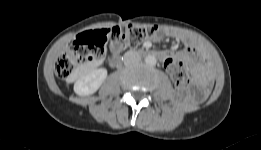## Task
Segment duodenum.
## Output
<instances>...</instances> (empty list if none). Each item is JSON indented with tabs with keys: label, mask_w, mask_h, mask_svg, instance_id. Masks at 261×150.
I'll use <instances>...</instances> for the list:
<instances>
[{
	"label": "duodenum",
	"mask_w": 261,
	"mask_h": 150,
	"mask_svg": "<svg viewBox=\"0 0 261 150\" xmlns=\"http://www.w3.org/2000/svg\"><path fill=\"white\" fill-rule=\"evenodd\" d=\"M137 54L139 55H145V56H153V57H158V53L157 52H150L148 50H139L137 52ZM120 61H121V58L120 56L118 55H114L112 58H111V61H110V65L112 67H116L120 64Z\"/></svg>",
	"instance_id": "1"
}]
</instances>
